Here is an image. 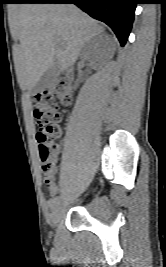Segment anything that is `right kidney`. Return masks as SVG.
I'll list each match as a JSON object with an SVG mask.
<instances>
[{
	"mask_svg": "<svg viewBox=\"0 0 166 267\" xmlns=\"http://www.w3.org/2000/svg\"><path fill=\"white\" fill-rule=\"evenodd\" d=\"M101 41L99 39H94L93 41L89 42L87 47L84 50V57L87 58L90 55L94 54L98 47H100Z\"/></svg>",
	"mask_w": 166,
	"mask_h": 267,
	"instance_id": "obj_1",
	"label": "right kidney"
}]
</instances>
